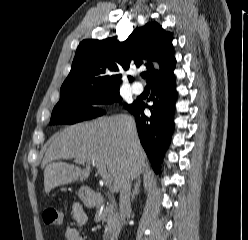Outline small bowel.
Segmentation results:
<instances>
[{
    "instance_id": "1",
    "label": "small bowel",
    "mask_w": 248,
    "mask_h": 240,
    "mask_svg": "<svg viewBox=\"0 0 248 240\" xmlns=\"http://www.w3.org/2000/svg\"><path fill=\"white\" fill-rule=\"evenodd\" d=\"M71 214L73 218L77 221L79 224H84L87 221V215L85 211L83 210L82 206L75 202L71 205ZM65 239L66 240H85L80 231L77 228H68L65 231Z\"/></svg>"
}]
</instances>
